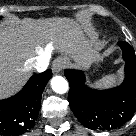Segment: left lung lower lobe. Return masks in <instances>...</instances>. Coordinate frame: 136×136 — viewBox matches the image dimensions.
Wrapping results in <instances>:
<instances>
[{
  "instance_id": "obj_1",
  "label": "left lung lower lobe",
  "mask_w": 136,
  "mask_h": 136,
  "mask_svg": "<svg viewBox=\"0 0 136 136\" xmlns=\"http://www.w3.org/2000/svg\"><path fill=\"white\" fill-rule=\"evenodd\" d=\"M125 60V80L120 86L95 90L85 85V76L79 70H65L70 83L68 101L81 122L89 129H115L125 123L136 111V56L131 45L120 41Z\"/></svg>"
}]
</instances>
